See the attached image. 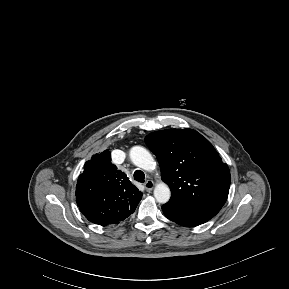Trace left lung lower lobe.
Instances as JSON below:
<instances>
[{
  "mask_svg": "<svg viewBox=\"0 0 289 289\" xmlns=\"http://www.w3.org/2000/svg\"><path fill=\"white\" fill-rule=\"evenodd\" d=\"M162 210L168 219L185 227L198 226L215 216L203 209L171 201L164 204Z\"/></svg>",
  "mask_w": 289,
  "mask_h": 289,
  "instance_id": "0a47b994",
  "label": "left lung lower lobe"
}]
</instances>
